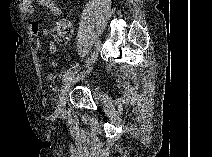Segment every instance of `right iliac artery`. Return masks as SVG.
<instances>
[{
  "instance_id": "82829eb1",
  "label": "right iliac artery",
  "mask_w": 212,
  "mask_h": 157,
  "mask_svg": "<svg viewBox=\"0 0 212 157\" xmlns=\"http://www.w3.org/2000/svg\"><path fill=\"white\" fill-rule=\"evenodd\" d=\"M100 46H101V42L99 40L95 41V48H94V52L91 55V57L87 60L86 62V66L88 67L89 65L93 64L95 62V60L98 57V53L100 50ZM75 73H77V70L75 71H67L64 76H63V81H66L67 79H69L72 75H74Z\"/></svg>"
}]
</instances>
